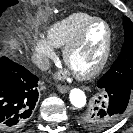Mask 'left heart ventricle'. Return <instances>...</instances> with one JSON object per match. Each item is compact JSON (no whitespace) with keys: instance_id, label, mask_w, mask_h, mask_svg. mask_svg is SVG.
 <instances>
[{"instance_id":"b2bd125f","label":"left heart ventricle","mask_w":133,"mask_h":133,"mask_svg":"<svg viewBox=\"0 0 133 133\" xmlns=\"http://www.w3.org/2000/svg\"><path fill=\"white\" fill-rule=\"evenodd\" d=\"M107 41V28L95 23L88 30L82 43L69 58V68L73 72H86L93 68L101 58Z\"/></svg>"}]
</instances>
